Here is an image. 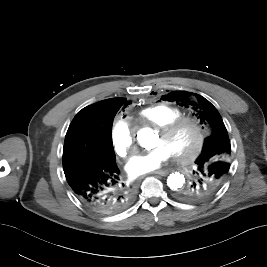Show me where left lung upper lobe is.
<instances>
[{"label": "left lung upper lobe", "instance_id": "obj_1", "mask_svg": "<svg viewBox=\"0 0 267 267\" xmlns=\"http://www.w3.org/2000/svg\"><path fill=\"white\" fill-rule=\"evenodd\" d=\"M161 99L192 108L200 123L210 129V136L205 139L202 152L195 161L196 169H207L211 164L219 163L229 172L231 145L226 127L217 109L201 95L187 91L171 92L163 95Z\"/></svg>", "mask_w": 267, "mask_h": 267}]
</instances>
